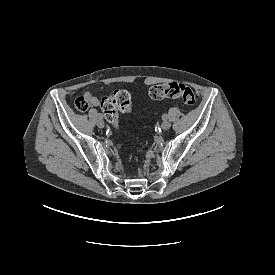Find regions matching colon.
<instances>
[{
    "mask_svg": "<svg viewBox=\"0 0 275 275\" xmlns=\"http://www.w3.org/2000/svg\"><path fill=\"white\" fill-rule=\"evenodd\" d=\"M152 99L160 100L165 98H180L187 105L195 103V95L193 90L180 82L161 83L152 86L148 92ZM76 109L85 112L90 107L89 99L86 96L79 97L75 102ZM102 115L111 125L112 131L115 133L118 112L131 114L132 99L128 91L117 90L110 97H105L100 102Z\"/></svg>",
    "mask_w": 275,
    "mask_h": 275,
    "instance_id": "1",
    "label": "colon"
}]
</instances>
